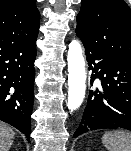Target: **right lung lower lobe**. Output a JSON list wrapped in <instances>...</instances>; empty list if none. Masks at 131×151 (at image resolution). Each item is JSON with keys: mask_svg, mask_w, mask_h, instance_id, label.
<instances>
[{"mask_svg": "<svg viewBox=\"0 0 131 151\" xmlns=\"http://www.w3.org/2000/svg\"><path fill=\"white\" fill-rule=\"evenodd\" d=\"M36 39L0 43V120L30 140Z\"/></svg>", "mask_w": 131, "mask_h": 151, "instance_id": "right-lung-lower-lobe-1", "label": "right lung lower lobe"}]
</instances>
